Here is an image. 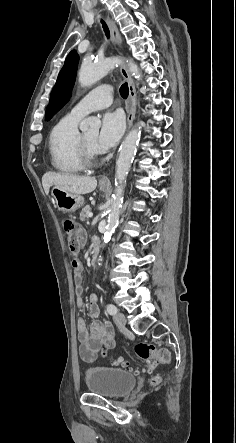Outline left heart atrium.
Wrapping results in <instances>:
<instances>
[{"label": "left heart atrium", "mask_w": 236, "mask_h": 443, "mask_svg": "<svg viewBox=\"0 0 236 443\" xmlns=\"http://www.w3.org/2000/svg\"><path fill=\"white\" fill-rule=\"evenodd\" d=\"M124 128V117L120 112L105 113L95 140V150L101 153L113 147L121 138Z\"/></svg>", "instance_id": "39dd6f15"}]
</instances>
